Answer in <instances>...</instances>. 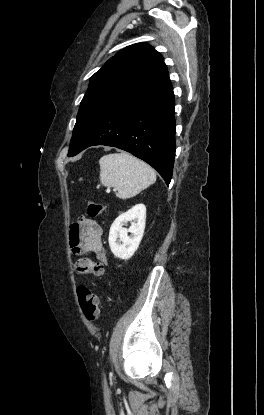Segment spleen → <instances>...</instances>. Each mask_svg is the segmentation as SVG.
<instances>
[{
    "label": "spleen",
    "mask_w": 264,
    "mask_h": 415,
    "mask_svg": "<svg viewBox=\"0 0 264 415\" xmlns=\"http://www.w3.org/2000/svg\"><path fill=\"white\" fill-rule=\"evenodd\" d=\"M99 164L101 184L113 187L121 199L132 198L156 182L154 169L126 152L105 155Z\"/></svg>",
    "instance_id": "obj_1"
}]
</instances>
